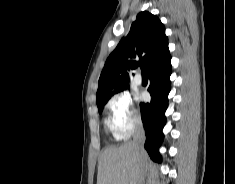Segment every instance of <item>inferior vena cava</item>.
<instances>
[{"label": "inferior vena cava", "mask_w": 235, "mask_h": 184, "mask_svg": "<svg viewBox=\"0 0 235 184\" xmlns=\"http://www.w3.org/2000/svg\"><path fill=\"white\" fill-rule=\"evenodd\" d=\"M144 142H145V132L142 126V122H136L133 142H131V144H133L134 150L135 152H137V154H141Z\"/></svg>", "instance_id": "602c4592"}]
</instances>
